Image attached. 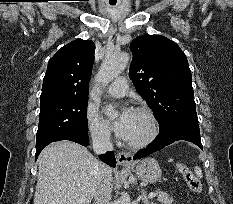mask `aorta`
<instances>
[{
	"mask_svg": "<svg viewBox=\"0 0 233 204\" xmlns=\"http://www.w3.org/2000/svg\"><path fill=\"white\" fill-rule=\"evenodd\" d=\"M129 62V55L126 52H118L105 57L101 64L96 81L102 85H107L120 75ZM120 204H131L130 196L127 192H122Z\"/></svg>",
	"mask_w": 233,
	"mask_h": 204,
	"instance_id": "1",
	"label": "aorta"
}]
</instances>
